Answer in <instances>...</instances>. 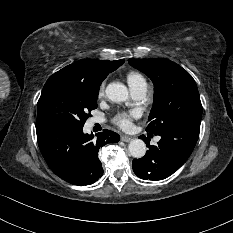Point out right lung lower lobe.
Instances as JSON below:
<instances>
[{
    "mask_svg": "<svg viewBox=\"0 0 233 233\" xmlns=\"http://www.w3.org/2000/svg\"><path fill=\"white\" fill-rule=\"evenodd\" d=\"M40 151L50 169L63 180L83 186L93 184L102 175L99 149L107 143L118 142L117 133L104 130L94 135L84 134L83 127L36 125Z\"/></svg>",
    "mask_w": 233,
    "mask_h": 233,
    "instance_id": "right-lung-lower-lobe-1",
    "label": "right lung lower lobe"
}]
</instances>
